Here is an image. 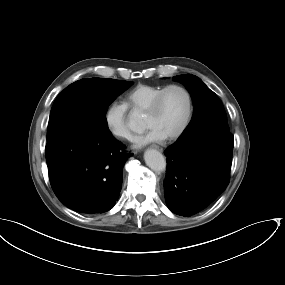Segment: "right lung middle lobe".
I'll use <instances>...</instances> for the list:
<instances>
[{"label":"right lung middle lobe","mask_w":285,"mask_h":285,"mask_svg":"<svg viewBox=\"0 0 285 285\" xmlns=\"http://www.w3.org/2000/svg\"><path fill=\"white\" fill-rule=\"evenodd\" d=\"M132 84L133 82L115 79L87 78L69 85L58 95L52 106L47 143L80 121H90L108 128L107 107Z\"/></svg>","instance_id":"obj_1"}]
</instances>
